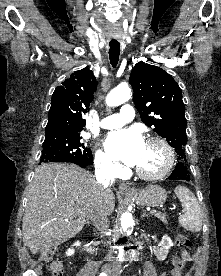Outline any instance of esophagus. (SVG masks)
I'll return each mask as SVG.
<instances>
[{
	"instance_id": "obj_1",
	"label": "esophagus",
	"mask_w": 221,
	"mask_h": 276,
	"mask_svg": "<svg viewBox=\"0 0 221 276\" xmlns=\"http://www.w3.org/2000/svg\"><path fill=\"white\" fill-rule=\"evenodd\" d=\"M119 191L121 193H125V194H131V193L135 192V190L130 185H128L126 183H121L119 185Z\"/></svg>"
}]
</instances>
